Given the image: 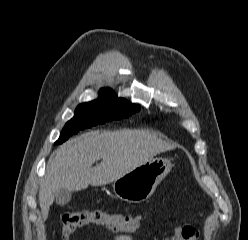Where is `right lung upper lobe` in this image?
I'll return each instance as SVG.
<instances>
[{
  "mask_svg": "<svg viewBox=\"0 0 248 240\" xmlns=\"http://www.w3.org/2000/svg\"><path fill=\"white\" fill-rule=\"evenodd\" d=\"M111 91H112L111 89L104 88L103 91H101V92H111Z\"/></svg>",
  "mask_w": 248,
  "mask_h": 240,
  "instance_id": "cb5924a9",
  "label": "right lung upper lobe"
}]
</instances>
